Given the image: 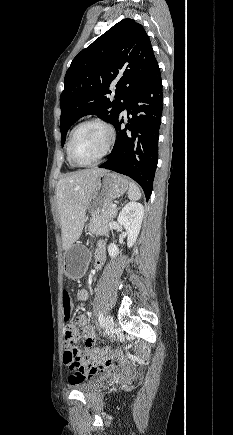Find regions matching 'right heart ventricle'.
I'll list each match as a JSON object with an SVG mask.
<instances>
[{
    "instance_id": "obj_1",
    "label": "right heart ventricle",
    "mask_w": 233,
    "mask_h": 435,
    "mask_svg": "<svg viewBox=\"0 0 233 435\" xmlns=\"http://www.w3.org/2000/svg\"><path fill=\"white\" fill-rule=\"evenodd\" d=\"M67 160H68L69 165L73 166V164L71 163L70 159L68 158V155H67Z\"/></svg>"
}]
</instances>
